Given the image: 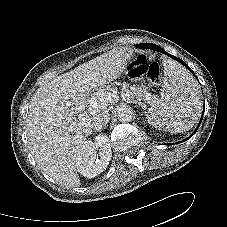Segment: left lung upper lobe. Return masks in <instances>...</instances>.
Returning a JSON list of instances; mask_svg holds the SVG:
<instances>
[{
    "label": "left lung upper lobe",
    "mask_w": 227,
    "mask_h": 227,
    "mask_svg": "<svg viewBox=\"0 0 227 227\" xmlns=\"http://www.w3.org/2000/svg\"><path fill=\"white\" fill-rule=\"evenodd\" d=\"M143 44H151V43H143ZM140 45V44H139ZM138 46V45H137Z\"/></svg>",
    "instance_id": "obj_1"
}]
</instances>
